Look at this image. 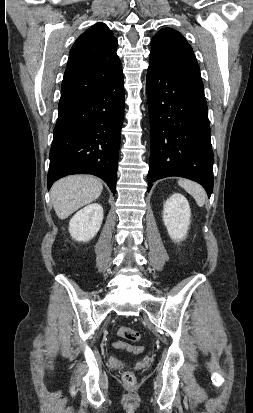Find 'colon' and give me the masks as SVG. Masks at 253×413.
<instances>
[{"label":"colon","mask_w":253,"mask_h":413,"mask_svg":"<svg viewBox=\"0 0 253 413\" xmlns=\"http://www.w3.org/2000/svg\"><path fill=\"white\" fill-rule=\"evenodd\" d=\"M117 334L131 342H137L140 340V333L132 328L126 326H120L117 329ZM114 346L119 349H126L133 353H140L143 351V347L141 346H129L122 341L114 342ZM123 381L128 385H133L135 383V375L131 371H126L123 374Z\"/></svg>","instance_id":"5ec220e1"}]
</instances>
